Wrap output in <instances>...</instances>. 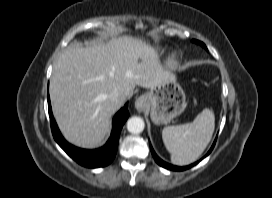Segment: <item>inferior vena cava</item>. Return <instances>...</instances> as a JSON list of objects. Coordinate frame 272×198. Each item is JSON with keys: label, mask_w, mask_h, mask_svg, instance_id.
I'll list each match as a JSON object with an SVG mask.
<instances>
[{"label": "inferior vena cava", "mask_w": 272, "mask_h": 198, "mask_svg": "<svg viewBox=\"0 0 272 198\" xmlns=\"http://www.w3.org/2000/svg\"><path fill=\"white\" fill-rule=\"evenodd\" d=\"M110 99L113 101H118L120 98V93L118 91V89L113 90L110 95H109Z\"/></svg>", "instance_id": "obj_1"}]
</instances>
